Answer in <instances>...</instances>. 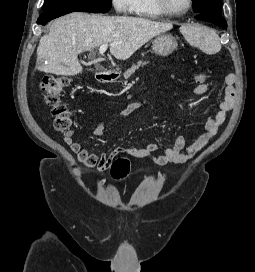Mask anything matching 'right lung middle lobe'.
<instances>
[{
  "instance_id": "dd1d6c3e",
  "label": "right lung middle lobe",
  "mask_w": 255,
  "mask_h": 272,
  "mask_svg": "<svg viewBox=\"0 0 255 272\" xmlns=\"http://www.w3.org/2000/svg\"><path fill=\"white\" fill-rule=\"evenodd\" d=\"M112 0H45L43 12H91L106 13Z\"/></svg>"
}]
</instances>
